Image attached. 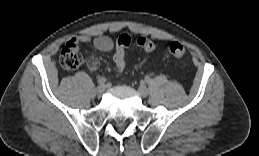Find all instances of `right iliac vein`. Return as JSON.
<instances>
[{
	"mask_svg": "<svg viewBox=\"0 0 259 156\" xmlns=\"http://www.w3.org/2000/svg\"><path fill=\"white\" fill-rule=\"evenodd\" d=\"M105 89H106V87H105V85H99L97 88H96V93L98 94V95H102L103 93H104V91H105Z\"/></svg>",
	"mask_w": 259,
	"mask_h": 156,
	"instance_id": "63e3f726",
	"label": "right iliac vein"
}]
</instances>
